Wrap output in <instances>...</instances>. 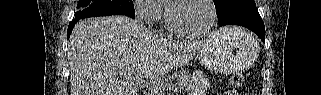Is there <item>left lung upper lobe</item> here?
<instances>
[{"instance_id":"5c2ea615","label":"left lung upper lobe","mask_w":321,"mask_h":95,"mask_svg":"<svg viewBox=\"0 0 321 95\" xmlns=\"http://www.w3.org/2000/svg\"><path fill=\"white\" fill-rule=\"evenodd\" d=\"M231 0H214L216 13L218 14Z\"/></svg>"}]
</instances>
